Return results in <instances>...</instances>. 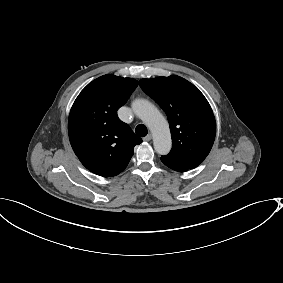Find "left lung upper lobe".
Listing matches in <instances>:
<instances>
[{"label":"left lung upper lobe","mask_w":283,"mask_h":283,"mask_svg":"<svg viewBox=\"0 0 283 283\" xmlns=\"http://www.w3.org/2000/svg\"><path fill=\"white\" fill-rule=\"evenodd\" d=\"M140 87L168 116L172 149L162 158L187 169L196 168L209 154L216 134L215 118L204 95L176 75L141 79Z\"/></svg>","instance_id":"obj_1"}]
</instances>
